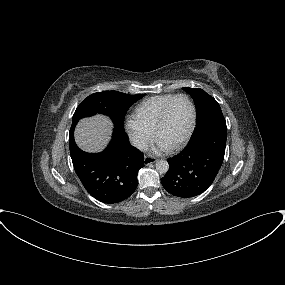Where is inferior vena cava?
<instances>
[{"instance_id":"inferior-vena-cava-1","label":"inferior vena cava","mask_w":285,"mask_h":285,"mask_svg":"<svg viewBox=\"0 0 285 285\" xmlns=\"http://www.w3.org/2000/svg\"><path fill=\"white\" fill-rule=\"evenodd\" d=\"M133 146L139 150L147 151L148 150V143L144 139L135 138L133 139Z\"/></svg>"}]
</instances>
